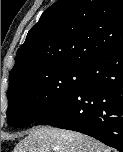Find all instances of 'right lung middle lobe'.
I'll return each mask as SVG.
<instances>
[{"mask_svg": "<svg viewBox=\"0 0 123 152\" xmlns=\"http://www.w3.org/2000/svg\"><path fill=\"white\" fill-rule=\"evenodd\" d=\"M83 69L62 67L24 76L8 91V124L28 126L62 105L80 86Z\"/></svg>", "mask_w": 123, "mask_h": 152, "instance_id": "dd1d6c3e", "label": "right lung middle lobe"}]
</instances>
